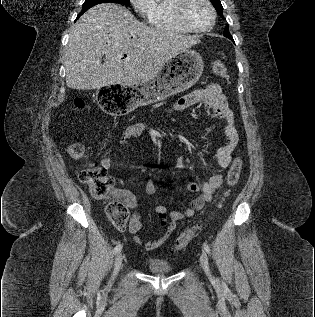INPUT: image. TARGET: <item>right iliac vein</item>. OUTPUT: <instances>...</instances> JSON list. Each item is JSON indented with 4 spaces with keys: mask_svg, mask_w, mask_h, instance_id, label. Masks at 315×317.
Listing matches in <instances>:
<instances>
[{
    "mask_svg": "<svg viewBox=\"0 0 315 317\" xmlns=\"http://www.w3.org/2000/svg\"><path fill=\"white\" fill-rule=\"evenodd\" d=\"M122 261H123V256H122V253L119 252L115 257L114 268H113L111 280H114V278L116 277L118 271L120 270V268L122 266Z\"/></svg>",
    "mask_w": 315,
    "mask_h": 317,
    "instance_id": "obj_1",
    "label": "right iliac vein"
}]
</instances>
